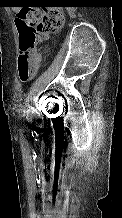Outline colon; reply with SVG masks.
<instances>
[{"instance_id": "5ec220e1", "label": "colon", "mask_w": 122, "mask_h": 218, "mask_svg": "<svg viewBox=\"0 0 122 218\" xmlns=\"http://www.w3.org/2000/svg\"><path fill=\"white\" fill-rule=\"evenodd\" d=\"M62 23L63 14L59 7H29L17 12L16 24L20 36L18 72L23 83L30 81L37 70V44L56 33Z\"/></svg>"}]
</instances>
